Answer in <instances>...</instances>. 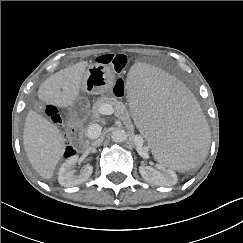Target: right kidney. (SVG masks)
I'll list each match as a JSON object with an SVG mask.
<instances>
[{"instance_id": "obj_1", "label": "right kidney", "mask_w": 243, "mask_h": 243, "mask_svg": "<svg viewBox=\"0 0 243 243\" xmlns=\"http://www.w3.org/2000/svg\"><path fill=\"white\" fill-rule=\"evenodd\" d=\"M79 160L78 155L69 157L60 167L58 172V182L64 187L79 185L88 180L93 172L91 165H86L78 175L75 174L73 166Z\"/></svg>"}]
</instances>
